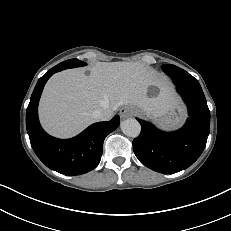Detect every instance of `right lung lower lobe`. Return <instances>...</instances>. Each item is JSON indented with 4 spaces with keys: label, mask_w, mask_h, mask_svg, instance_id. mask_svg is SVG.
I'll list each match as a JSON object with an SVG mask.
<instances>
[{
    "label": "right lung lower lobe",
    "mask_w": 231,
    "mask_h": 231,
    "mask_svg": "<svg viewBox=\"0 0 231 231\" xmlns=\"http://www.w3.org/2000/svg\"><path fill=\"white\" fill-rule=\"evenodd\" d=\"M61 70L64 68L53 67L38 80L26 111V128L34 152L48 168L64 175H81L99 164L104 139L119 126L120 118L94 123L71 139L48 135L38 120V103L47 80Z\"/></svg>",
    "instance_id": "right-lung-lower-lobe-1"
}]
</instances>
